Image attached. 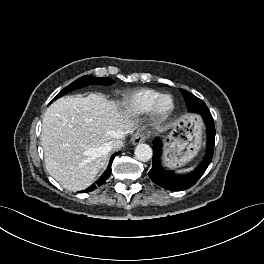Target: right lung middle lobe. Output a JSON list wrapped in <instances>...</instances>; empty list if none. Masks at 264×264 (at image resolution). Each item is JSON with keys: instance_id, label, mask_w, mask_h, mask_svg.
<instances>
[{"instance_id": "dd1d6c3e", "label": "right lung middle lobe", "mask_w": 264, "mask_h": 264, "mask_svg": "<svg viewBox=\"0 0 264 264\" xmlns=\"http://www.w3.org/2000/svg\"><path fill=\"white\" fill-rule=\"evenodd\" d=\"M114 83V81L110 78H97V77H93V76H83L79 79H77L76 81H74L73 83H71L69 86H67L66 88H64L63 90L60 91V93L57 94V96L52 100L54 101L55 99L67 94L70 91H73L75 89H79L88 85H110Z\"/></svg>"}]
</instances>
